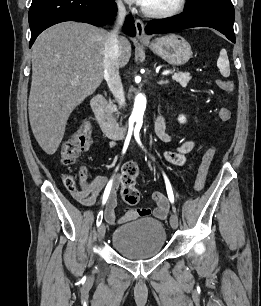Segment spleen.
I'll return each mask as SVG.
<instances>
[{
    "label": "spleen",
    "instance_id": "spleen-1",
    "mask_svg": "<svg viewBox=\"0 0 261 306\" xmlns=\"http://www.w3.org/2000/svg\"><path fill=\"white\" fill-rule=\"evenodd\" d=\"M217 66L220 70V73L223 77H229L230 75V65H229V59L227 56V52L225 49H222L220 51L219 58L217 60Z\"/></svg>",
    "mask_w": 261,
    "mask_h": 306
}]
</instances>
